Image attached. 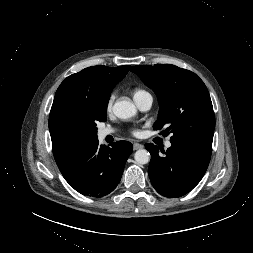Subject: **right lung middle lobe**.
<instances>
[{"label":"right lung middle lobe","instance_id":"right-lung-middle-lobe-1","mask_svg":"<svg viewBox=\"0 0 253 253\" xmlns=\"http://www.w3.org/2000/svg\"><path fill=\"white\" fill-rule=\"evenodd\" d=\"M106 118H107V113L105 112L100 118H98L97 120H93L91 126H92V129L94 131V133L96 134V131H97V128H96V122H104L106 121ZM95 138H97V136L95 135Z\"/></svg>","mask_w":253,"mask_h":253}]
</instances>
